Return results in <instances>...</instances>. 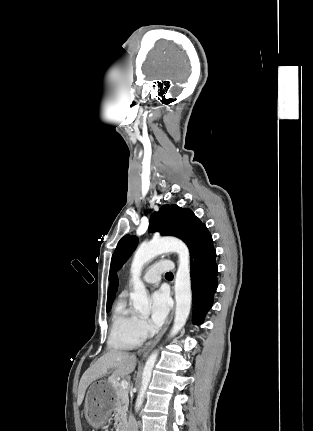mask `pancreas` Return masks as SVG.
<instances>
[{
	"label": "pancreas",
	"mask_w": 313,
	"mask_h": 431,
	"mask_svg": "<svg viewBox=\"0 0 313 431\" xmlns=\"http://www.w3.org/2000/svg\"><path fill=\"white\" fill-rule=\"evenodd\" d=\"M115 395L114 419L117 428L120 429L127 422L129 404L128 389H123L118 382H115Z\"/></svg>",
	"instance_id": "pancreas-1"
}]
</instances>
